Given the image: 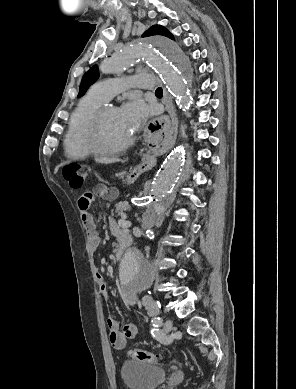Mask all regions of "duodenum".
Listing matches in <instances>:
<instances>
[{
	"mask_svg": "<svg viewBox=\"0 0 296 389\" xmlns=\"http://www.w3.org/2000/svg\"><path fill=\"white\" fill-rule=\"evenodd\" d=\"M119 246L114 254L115 260H120L131 244V236L125 235L119 238Z\"/></svg>",
	"mask_w": 296,
	"mask_h": 389,
	"instance_id": "1",
	"label": "duodenum"
}]
</instances>
